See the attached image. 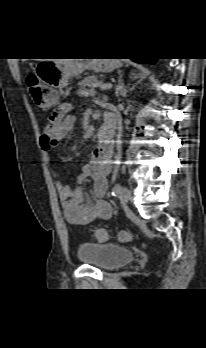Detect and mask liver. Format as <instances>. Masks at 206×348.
I'll return each instance as SVG.
<instances>
[{"instance_id": "1", "label": "liver", "mask_w": 206, "mask_h": 348, "mask_svg": "<svg viewBox=\"0 0 206 348\" xmlns=\"http://www.w3.org/2000/svg\"><path fill=\"white\" fill-rule=\"evenodd\" d=\"M77 60L84 61V60H87V59H59V60H57V62L58 63H64V62L77 61Z\"/></svg>"}]
</instances>
